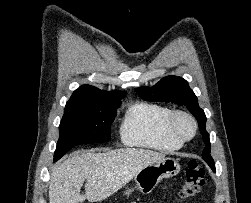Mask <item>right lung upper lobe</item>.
Here are the masks:
<instances>
[{
  "instance_id": "obj_1",
  "label": "right lung upper lobe",
  "mask_w": 251,
  "mask_h": 203,
  "mask_svg": "<svg viewBox=\"0 0 251 203\" xmlns=\"http://www.w3.org/2000/svg\"><path fill=\"white\" fill-rule=\"evenodd\" d=\"M125 97L120 91L105 92L90 85H83L74 91L66 105L88 103H117Z\"/></svg>"
}]
</instances>
